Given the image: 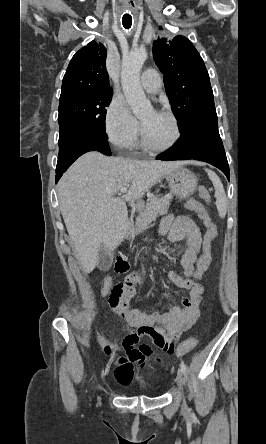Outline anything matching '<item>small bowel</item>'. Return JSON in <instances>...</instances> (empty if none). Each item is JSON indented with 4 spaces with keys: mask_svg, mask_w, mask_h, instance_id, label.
Returning a JSON list of instances; mask_svg holds the SVG:
<instances>
[{
    "mask_svg": "<svg viewBox=\"0 0 266 444\" xmlns=\"http://www.w3.org/2000/svg\"><path fill=\"white\" fill-rule=\"evenodd\" d=\"M160 232L168 234V239L172 243L185 242V249L178 263L185 277L180 276L174 270H169L167 276L176 286L187 288L188 278L192 275L200 252V231L190 218L170 215L163 220ZM142 278L140 273H133L127 277L133 283L134 293ZM112 283L111 278L102 281L101 296L109 294ZM203 292L204 287L200 282L193 284L190 288V296L183 298L181 305H172L170 310L164 314L137 316L122 307L113 309L122 321L123 329L127 332L123 341L126 358L119 361L115 370V376L121 384L127 385L131 381L133 363H144L153 353L147 345L135 347L142 336L151 337L155 345L165 353L169 355L176 353L180 334L191 328L199 318V305ZM97 338L99 343L105 347L106 353H111L112 348L107 344V341L101 336Z\"/></svg>",
    "mask_w": 266,
    "mask_h": 444,
    "instance_id": "1",
    "label": "small bowel"
}]
</instances>
